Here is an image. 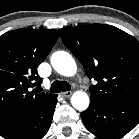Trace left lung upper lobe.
Listing matches in <instances>:
<instances>
[{"mask_svg":"<svg viewBox=\"0 0 139 139\" xmlns=\"http://www.w3.org/2000/svg\"><path fill=\"white\" fill-rule=\"evenodd\" d=\"M62 41L97 81L91 97L102 104L139 97V42L110 25L92 24L59 30Z\"/></svg>","mask_w":139,"mask_h":139,"instance_id":"left-lung-upper-lobe-1","label":"left lung upper lobe"}]
</instances>
